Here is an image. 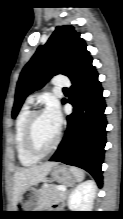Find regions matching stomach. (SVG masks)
<instances>
[{"label": "stomach", "instance_id": "obj_1", "mask_svg": "<svg viewBox=\"0 0 123 219\" xmlns=\"http://www.w3.org/2000/svg\"><path fill=\"white\" fill-rule=\"evenodd\" d=\"M51 177L62 184L71 185L76 182L71 170L63 165L56 164L50 170ZM40 196L36 189L31 188L25 198L21 199V208L24 211H35L39 206ZM17 211V210H16Z\"/></svg>", "mask_w": 123, "mask_h": 219}]
</instances>
